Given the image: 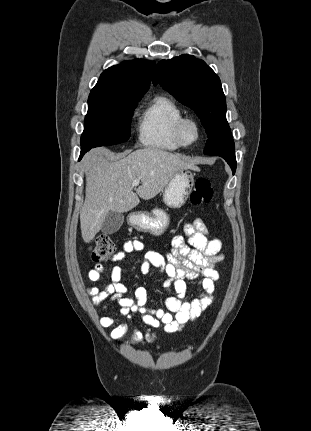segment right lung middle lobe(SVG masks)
<instances>
[{"mask_svg": "<svg viewBox=\"0 0 311 431\" xmlns=\"http://www.w3.org/2000/svg\"><path fill=\"white\" fill-rule=\"evenodd\" d=\"M142 97L90 94L81 150L127 141L133 111Z\"/></svg>", "mask_w": 311, "mask_h": 431, "instance_id": "1", "label": "right lung middle lobe"}]
</instances>
